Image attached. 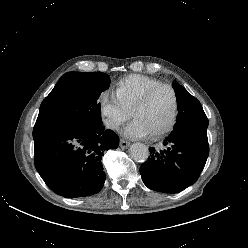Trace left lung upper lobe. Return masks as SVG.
<instances>
[{
	"instance_id": "1",
	"label": "left lung upper lobe",
	"mask_w": 248,
	"mask_h": 248,
	"mask_svg": "<svg viewBox=\"0 0 248 248\" xmlns=\"http://www.w3.org/2000/svg\"><path fill=\"white\" fill-rule=\"evenodd\" d=\"M173 89L178 103V115L174 130L186 127H208V119L200 102L176 81Z\"/></svg>"
}]
</instances>
